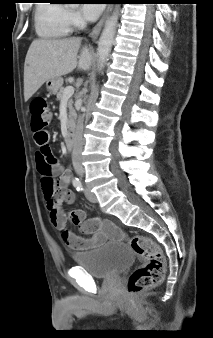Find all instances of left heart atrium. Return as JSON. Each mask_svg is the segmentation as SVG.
Listing matches in <instances>:
<instances>
[{
    "label": "left heart atrium",
    "instance_id": "left-heart-atrium-1",
    "mask_svg": "<svg viewBox=\"0 0 213 338\" xmlns=\"http://www.w3.org/2000/svg\"><path fill=\"white\" fill-rule=\"evenodd\" d=\"M81 7L85 18L88 20H95L100 15L102 8L101 5L88 3H83Z\"/></svg>",
    "mask_w": 213,
    "mask_h": 338
}]
</instances>
